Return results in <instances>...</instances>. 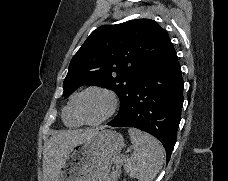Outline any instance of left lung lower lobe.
<instances>
[{
	"mask_svg": "<svg viewBox=\"0 0 228 181\" xmlns=\"http://www.w3.org/2000/svg\"><path fill=\"white\" fill-rule=\"evenodd\" d=\"M182 105L181 67L169 43L139 74L122 118L108 125L134 127L155 136L163 144L168 162L177 138Z\"/></svg>",
	"mask_w": 228,
	"mask_h": 181,
	"instance_id": "left-lung-lower-lobe-1",
	"label": "left lung lower lobe"
}]
</instances>
